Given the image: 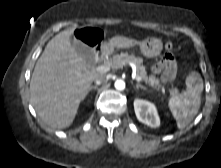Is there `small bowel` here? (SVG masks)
Instances as JSON below:
<instances>
[{
    "instance_id": "c3829d8e",
    "label": "small bowel",
    "mask_w": 221,
    "mask_h": 168,
    "mask_svg": "<svg viewBox=\"0 0 221 168\" xmlns=\"http://www.w3.org/2000/svg\"><path fill=\"white\" fill-rule=\"evenodd\" d=\"M177 57L173 53H166L162 59L157 62L152 70L155 74L160 75L163 82L173 80L177 72Z\"/></svg>"
}]
</instances>
